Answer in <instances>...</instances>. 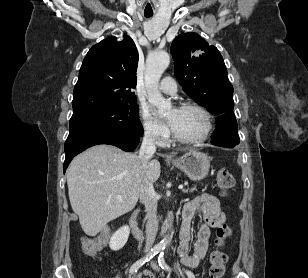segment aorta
<instances>
[{
	"label": "aorta",
	"mask_w": 308,
	"mask_h": 278,
	"mask_svg": "<svg viewBox=\"0 0 308 278\" xmlns=\"http://www.w3.org/2000/svg\"><path fill=\"white\" fill-rule=\"evenodd\" d=\"M170 63V57L166 52H156L148 56L146 61L145 83L148 92V101L155 105L160 116H165L171 109V102L166 100L158 90V83ZM169 237L164 238L159 247L165 249Z\"/></svg>",
	"instance_id": "obj_1"
}]
</instances>
